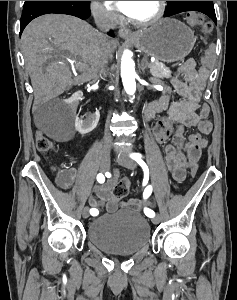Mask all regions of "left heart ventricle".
<instances>
[{"mask_svg": "<svg viewBox=\"0 0 237 300\" xmlns=\"http://www.w3.org/2000/svg\"><path fill=\"white\" fill-rule=\"evenodd\" d=\"M156 11V1H138L134 11L129 16L135 20H146Z\"/></svg>", "mask_w": 237, "mask_h": 300, "instance_id": "obj_1", "label": "left heart ventricle"}]
</instances>
